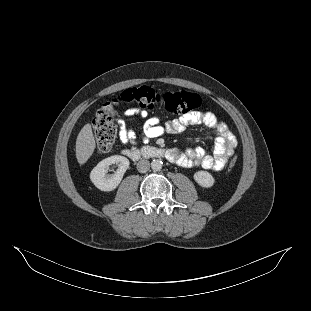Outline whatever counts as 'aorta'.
Listing matches in <instances>:
<instances>
[{
    "instance_id": "aorta-1",
    "label": "aorta",
    "mask_w": 311,
    "mask_h": 311,
    "mask_svg": "<svg viewBox=\"0 0 311 311\" xmlns=\"http://www.w3.org/2000/svg\"><path fill=\"white\" fill-rule=\"evenodd\" d=\"M162 166H163V162L160 159H153L151 161L152 170L159 171L161 170Z\"/></svg>"
}]
</instances>
